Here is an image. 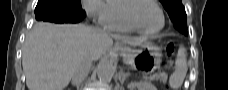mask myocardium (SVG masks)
<instances>
[{
    "mask_svg": "<svg viewBox=\"0 0 228 90\" xmlns=\"http://www.w3.org/2000/svg\"><path fill=\"white\" fill-rule=\"evenodd\" d=\"M144 1L152 3L160 12V15L162 18V24L156 30H148L142 27L132 15V12L135 9L136 5ZM123 18L130 26H132L133 28H135L136 30L142 33H147V34H153V33H158L162 31L166 23L164 11L155 0H129V2L123 8Z\"/></svg>",
    "mask_w": 228,
    "mask_h": 90,
    "instance_id": "f54148a6",
    "label": "myocardium"
}]
</instances>
